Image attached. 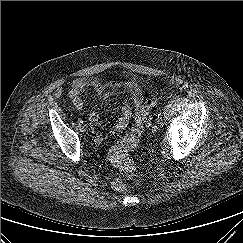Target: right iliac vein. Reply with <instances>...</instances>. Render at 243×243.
I'll return each mask as SVG.
<instances>
[{
    "label": "right iliac vein",
    "mask_w": 243,
    "mask_h": 243,
    "mask_svg": "<svg viewBox=\"0 0 243 243\" xmlns=\"http://www.w3.org/2000/svg\"><path fill=\"white\" fill-rule=\"evenodd\" d=\"M87 129H88V126H87L86 123H82V124L80 125V130H81L82 132H86Z\"/></svg>",
    "instance_id": "63e3f726"
}]
</instances>
